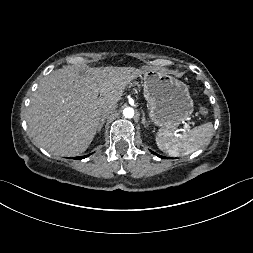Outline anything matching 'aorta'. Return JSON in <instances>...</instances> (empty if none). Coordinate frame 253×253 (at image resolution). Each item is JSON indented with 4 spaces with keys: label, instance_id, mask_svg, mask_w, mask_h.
I'll use <instances>...</instances> for the list:
<instances>
[{
    "label": "aorta",
    "instance_id": "1",
    "mask_svg": "<svg viewBox=\"0 0 253 253\" xmlns=\"http://www.w3.org/2000/svg\"><path fill=\"white\" fill-rule=\"evenodd\" d=\"M123 115L126 118H132L134 116V110L131 107H127L123 110Z\"/></svg>",
    "mask_w": 253,
    "mask_h": 253
}]
</instances>
